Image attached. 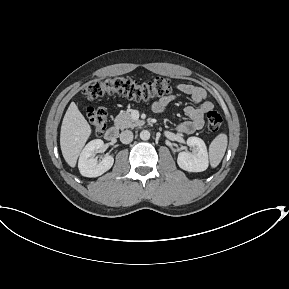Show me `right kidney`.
<instances>
[{
    "mask_svg": "<svg viewBox=\"0 0 289 289\" xmlns=\"http://www.w3.org/2000/svg\"><path fill=\"white\" fill-rule=\"evenodd\" d=\"M104 143L101 139L90 141L82 150L78 162V168L82 176L98 177L108 171L113 163L112 155H106L102 160H97L95 154L102 149Z\"/></svg>",
    "mask_w": 289,
    "mask_h": 289,
    "instance_id": "right-kidney-1",
    "label": "right kidney"
}]
</instances>
